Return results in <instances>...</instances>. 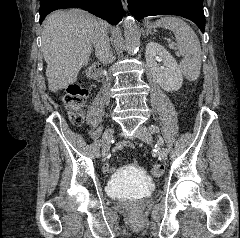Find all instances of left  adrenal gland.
I'll return each instance as SVG.
<instances>
[{
  "mask_svg": "<svg viewBox=\"0 0 240 238\" xmlns=\"http://www.w3.org/2000/svg\"><path fill=\"white\" fill-rule=\"evenodd\" d=\"M149 34H151V32L149 30H146V36H148Z\"/></svg>",
  "mask_w": 240,
  "mask_h": 238,
  "instance_id": "left-adrenal-gland-1",
  "label": "left adrenal gland"
}]
</instances>
